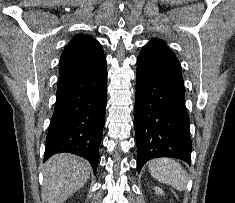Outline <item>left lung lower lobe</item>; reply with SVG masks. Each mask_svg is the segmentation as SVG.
<instances>
[{"label":"left lung lower lobe","mask_w":235,"mask_h":203,"mask_svg":"<svg viewBox=\"0 0 235 203\" xmlns=\"http://www.w3.org/2000/svg\"><path fill=\"white\" fill-rule=\"evenodd\" d=\"M184 91L175 54L164 41H150L137 59L134 127L138 172L157 157L190 164L192 143Z\"/></svg>","instance_id":"obj_1"}]
</instances>
